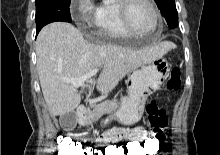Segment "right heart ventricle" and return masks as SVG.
Returning <instances> with one entry per match:
<instances>
[{"mask_svg": "<svg viewBox=\"0 0 220 155\" xmlns=\"http://www.w3.org/2000/svg\"><path fill=\"white\" fill-rule=\"evenodd\" d=\"M119 0L113 3H101L97 7L99 20L98 36L105 40L124 39L132 36L125 27L120 18L118 10Z\"/></svg>", "mask_w": 220, "mask_h": 155, "instance_id": "1", "label": "right heart ventricle"}]
</instances>
